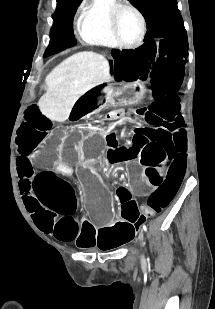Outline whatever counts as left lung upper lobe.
Masks as SVG:
<instances>
[{
	"instance_id": "1",
	"label": "left lung upper lobe",
	"mask_w": 215,
	"mask_h": 309,
	"mask_svg": "<svg viewBox=\"0 0 215 309\" xmlns=\"http://www.w3.org/2000/svg\"><path fill=\"white\" fill-rule=\"evenodd\" d=\"M147 23L144 41L173 39L187 44V33L176 0H130Z\"/></svg>"
}]
</instances>
